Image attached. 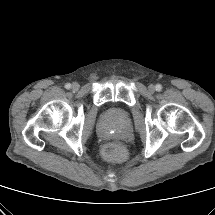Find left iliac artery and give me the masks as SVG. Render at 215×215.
Returning a JSON list of instances; mask_svg holds the SVG:
<instances>
[{
	"instance_id": "left-iliac-artery-1",
	"label": "left iliac artery",
	"mask_w": 215,
	"mask_h": 215,
	"mask_svg": "<svg viewBox=\"0 0 215 215\" xmlns=\"http://www.w3.org/2000/svg\"><path fill=\"white\" fill-rule=\"evenodd\" d=\"M161 89H162V86H161L160 84H157V85H156V90H157V91H161Z\"/></svg>"
}]
</instances>
